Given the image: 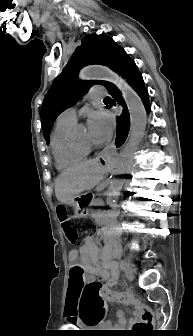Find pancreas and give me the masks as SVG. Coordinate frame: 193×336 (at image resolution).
Here are the masks:
<instances>
[{
  "mask_svg": "<svg viewBox=\"0 0 193 336\" xmlns=\"http://www.w3.org/2000/svg\"><path fill=\"white\" fill-rule=\"evenodd\" d=\"M105 202L103 200H96L95 204L93 205V210L96 211V213H99L105 209Z\"/></svg>",
  "mask_w": 193,
  "mask_h": 336,
  "instance_id": "cf45deb5",
  "label": "pancreas"
}]
</instances>
